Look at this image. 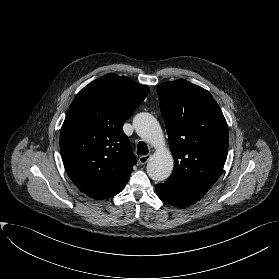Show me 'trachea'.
<instances>
[{
	"label": "trachea",
	"instance_id": "1",
	"mask_svg": "<svg viewBox=\"0 0 279 279\" xmlns=\"http://www.w3.org/2000/svg\"><path fill=\"white\" fill-rule=\"evenodd\" d=\"M137 154L138 155H147L148 154V147L145 142L140 141L137 146Z\"/></svg>",
	"mask_w": 279,
	"mask_h": 279
}]
</instances>
